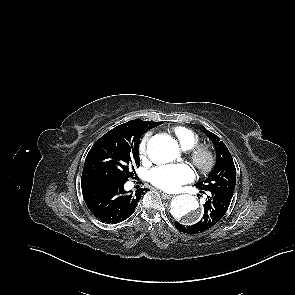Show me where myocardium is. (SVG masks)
<instances>
[{
	"label": "myocardium",
	"instance_id": "1",
	"mask_svg": "<svg viewBox=\"0 0 295 295\" xmlns=\"http://www.w3.org/2000/svg\"><path fill=\"white\" fill-rule=\"evenodd\" d=\"M189 159L201 174L209 173L215 164V154L207 145H197L189 150Z\"/></svg>",
	"mask_w": 295,
	"mask_h": 295
}]
</instances>
